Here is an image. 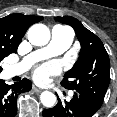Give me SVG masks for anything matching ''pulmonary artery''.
<instances>
[{
	"label": "pulmonary artery",
	"mask_w": 117,
	"mask_h": 117,
	"mask_svg": "<svg viewBox=\"0 0 117 117\" xmlns=\"http://www.w3.org/2000/svg\"><path fill=\"white\" fill-rule=\"evenodd\" d=\"M51 34V41L46 47L31 53L25 57L21 63L9 66L7 68L8 75H20L25 72L33 63L41 59L60 54L70 47L73 40V31L70 28L54 26Z\"/></svg>",
	"instance_id": "1"
}]
</instances>
